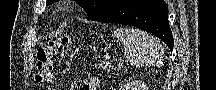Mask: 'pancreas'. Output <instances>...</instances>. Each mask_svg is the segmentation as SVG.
Listing matches in <instances>:
<instances>
[{
	"label": "pancreas",
	"instance_id": "1",
	"mask_svg": "<svg viewBox=\"0 0 216 90\" xmlns=\"http://www.w3.org/2000/svg\"><path fill=\"white\" fill-rule=\"evenodd\" d=\"M100 69L106 71V69H111V64H100Z\"/></svg>",
	"mask_w": 216,
	"mask_h": 90
}]
</instances>
